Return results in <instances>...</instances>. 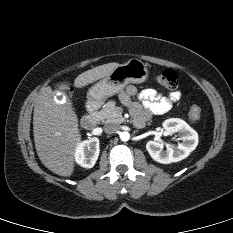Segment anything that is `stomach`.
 Segmentation results:
<instances>
[{"instance_id": "stomach-1", "label": "stomach", "mask_w": 233, "mask_h": 233, "mask_svg": "<svg viewBox=\"0 0 233 233\" xmlns=\"http://www.w3.org/2000/svg\"><path fill=\"white\" fill-rule=\"evenodd\" d=\"M148 78V69L139 59L132 58L116 66L107 76L94 84L88 91L92 102L104 101L122 91L129 83H142Z\"/></svg>"}]
</instances>
